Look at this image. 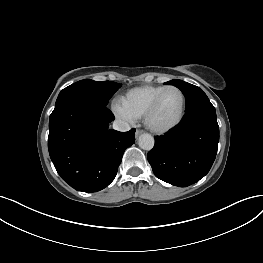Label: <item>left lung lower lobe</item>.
Here are the masks:
<instances>
[{
    "instance_id": "0a47b994",
    "label": "left lung lower lobe",
    "mask_w": 263,
    "mask_h": 263,
    "mask_svg": "<svg viewBox=\"0 0 263 263\" xmlns=\"http://www.w3.org/2000/svg\"><path fill=\"white\" fill-rule=\"evenodd\" d=\"M218 142L216 111L209 101L186 110L175 128L155 137L154 148L147 158L157 178L187 187L209 172Z\"/></svg>"
}]
</instances>
